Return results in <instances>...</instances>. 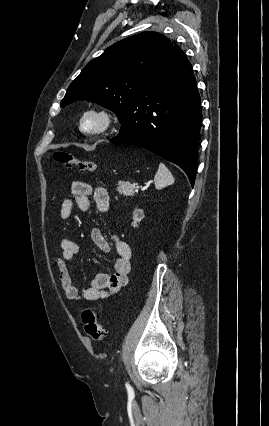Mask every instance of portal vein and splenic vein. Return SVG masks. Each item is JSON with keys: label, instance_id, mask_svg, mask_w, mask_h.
Wrapping results in <instances>:
<instances>
[{"label": "portal vein and splenic vein", "instance_id": "portal-vein-and-splenic-vein-1", "mask_svg": "<svg viewBox=\"0 0 269 426\" xmlns=\"http://www.w3.org/2000/svg\"><path fill=\"white\" fill-rule=\"evenodd\" d=\"M135 191L138 192V187H136Z\"/></svg>", "mask_w": 269, "mask_h": 426}]
</instances>
